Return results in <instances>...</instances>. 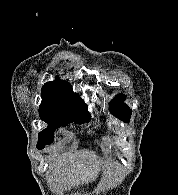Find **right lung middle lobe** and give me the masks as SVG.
Returning <instances> with one entry per match:
<instances>
[{"instance_id":"obj_1","label":"right lung middle lobe","mask_w":178,"mask_h":195,"mask_svg":"<svg viewBox=\"0 0 178 195\" xmlns=\"http://www.w3.org/2000/svg\"><path fill=\"white\" fill-rule=\"evenodd\" d=\"M86 105L80 106H56L40 105V118L48 124V127L39 133L37 149H43L54 141V130L60 126H66L70 122L82 124L89 122L90 114Z\"/></svg>"}]
</instances>
